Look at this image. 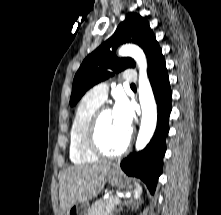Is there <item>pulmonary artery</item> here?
Returning a JSON list of instances; mask_svg holds the SVG:
<instances>
[{
	"instance_id": "e3ab8cb5",
	"label": "pulmonary artery",
	"mask_w": 221,
	"mask_h": 215,
	"mask_svg": "<svg viewBox=\"0 0 221 215\" xmlns=\"http://www.w3.org/2000/svg\"><path fill=\"white\" fill-rule=\"evenodd\" d=\"M123 80L125 83H134L137 76L133 70H127L123 75ZM88 94L96 100L104 102L108 95V87L105 84H99L93 87Z\"/></svg>"
}]
</instances>
